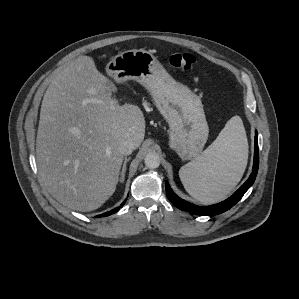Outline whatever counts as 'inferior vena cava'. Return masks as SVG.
Segmentation results:
<instances>
[{
    "mask_svg": "<svg viewBox=\"0 0 299 299\" xmlns=\"http://www.w3.org/2000/svg\"><path fill=\"white\" fill-rule=\"evenodd\" d=\"M137 148V144L132 140H124L119 145V151L123 155H130L134 149Z\"/></svg>",
    "mask_w": 299,
    "mask_h": 299,
    "instance_id": "602c4592",
    "label": "inferior vena cava"
}]
</instances>
